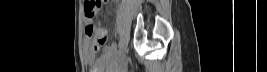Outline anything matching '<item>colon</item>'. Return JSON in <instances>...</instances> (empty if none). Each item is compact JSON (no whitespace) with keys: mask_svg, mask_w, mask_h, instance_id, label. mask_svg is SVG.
<instances>
[{"mask_svg":"<svg viewBox=\"0 0 267 72\" xmlns=\"http://www.w3.org/2000/svg\"><path fill=\"white\" fill-rule=\"evenodd\" d=\"M102 1L100 0H88L86 1L84 12L88 19L92 20L101 10ZM86 34L92 38L93 47L99 49L106 40V33L103 29L97 28L94 24H89L86 28Z\"/></svg>","mask_w":267,"mask_h":72,"instance_id":"1","label":"colon"}]
</instances>
